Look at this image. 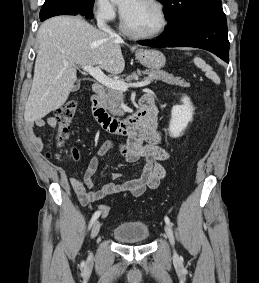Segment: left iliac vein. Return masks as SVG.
Segmentation results:
<instances>
[{"instance_id": "1", "label": "left iliac vein", "mask_w": 259, "mask_h": 283, "mask_svg": "<svg viewBox=\"0 0 259 283\" xmlns=\"http://www.w3.org/2000/svg\"><path fill=\"white\" fill-rule=\"evenodd\" d=\"M164 230H165V233H166L171 245L174 246L175 239H174V234H173L171 227L168 224H166L164 226Z\"/></svg>"}]
</instances>
